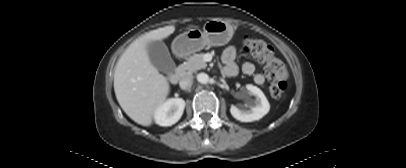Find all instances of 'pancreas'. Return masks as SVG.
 I'll use <instances>...</instances> for the list:
<instances>
[{
  "instance_id": "cf45deb5",
  "label": "pancreas",
  "mask_w": 406,
  "mask_h": 168,
  "mask_svg": "<svg viewBox=\"0 0 406 168\" xmlns=\"http://www.w3.org/2000/svg\"><path fill=\"white\" fill-rule=\"evenodd\" d=\"M207 67L206 62L203 60V54H194L190 56L186 62L181 64L178 68L181 74L186 72L193 73L200 69H205Z\"/></svg>"
}]
</instances>
